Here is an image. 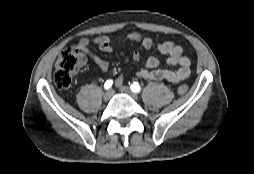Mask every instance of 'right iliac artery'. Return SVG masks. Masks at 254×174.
<instances>
[{
  "label": "right iliac artery",
  "instance_id": "1",
  "mask_svg": "<svg viewBox=\"0 0 254 174\" xmlns=\"http://www.w3.org/2000/svg\"><path fill=\"white\" fill-rule=\"evenodd\" d=\"M112 84H113V81H112V80H107V81L105 82V84H104V88H105V89H109V88H111Z\"/></svg>",
  "mask_w": 254,
  "mask_h": 174
}]
</instances>
